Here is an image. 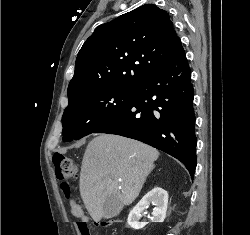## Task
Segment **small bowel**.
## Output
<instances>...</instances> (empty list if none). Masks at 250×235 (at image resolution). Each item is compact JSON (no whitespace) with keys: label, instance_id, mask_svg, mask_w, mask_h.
<instances>
[{"label":"small bowel","instance_id":"obj_1","mask_svg":"<svg viewBox=\"0 0 250 235\" xmlns=\"http://www.w3.org/2000/svg\"><path fill=\"white\" fill-rule=\"evenodd\" d=\"M71 213L76 217H82L83 216V211L78 205H73L71 207Z\"/></svg>","mask_w":250,"mask_h":235}]
</instances>
